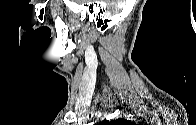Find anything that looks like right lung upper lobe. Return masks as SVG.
<instances>
[{
	"label": "right lung upper lobe",
	"mask_w": 196,
	"mask_h": 125,
	"mask_svg": "<svg viewBox=\"0 0 196 125\" xmlns=\"http://www.w3.org/2000/svg\"><path fill=\"white\" fill-rule=\"evenodd\" d=\"M109 124H126L127 123V121L126 120H124V119H118V120H112V121H110V122H108Z\"/></svg>",
	"instance_id": "right-lung-upper-lobe-1"
}]
</instances>
